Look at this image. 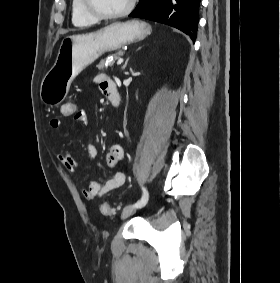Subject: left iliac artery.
Returning a JSON list of instances; mask_svg holds the SVG:
<instances>
[{
	"mask_svg": "<svg viewBox=\"0 0 280 283\" xmlns=\"http://www.w3.org/2000/svg\"><path fill=\"white\" fill-rule=\"evenodd\" d=\"M142 191H143V195H142L141 199L138 200L137 203L134 204V206L136 208L144 207L146 205V203L148 202V199H149L148 191L146 190L145 187H142Z\"/></svg>",
	"mask_w": 280,
	"mask_h": 283,
	"instance_id": "obj_1",
	"label": "left iliac artery"
}]
</instances>
